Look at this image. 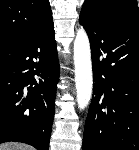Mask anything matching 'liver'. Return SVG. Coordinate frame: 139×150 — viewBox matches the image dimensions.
<instances>
[{"label":"liver","instance_id":"1","mask_svg":"<svg viewBox=\"0 0 139 150\" xmlns=\"http://www.w3.org/2000/svg\"><path fill=\"white\" fill-rule=\"evenodd\" d=\"M0 150H32L31 147L18 144V143H7L0 145Z\"/></svg>","mask_w":139,"mask_h":150}]
</instances>
